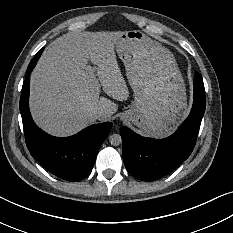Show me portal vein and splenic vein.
Listing matches in <instances>:
<instances>
[{
	"label": "portal vein and splenic vein",
	"instance_id": "obj_1",
	"mask_svg": "<svg viewBox=\"0 0 233 233\" xmlns=\"http://www.w3.org/2000/svg\"><path fill=\"white\" fill-rule=\"evenodd\" d=\"M91 82H92L94 87L100 88L99 82H98L97 78L94 75L91 78Z\"/></svg>",
	"mask_w": 233,
	"mask_h": 233
}]
</instances>
